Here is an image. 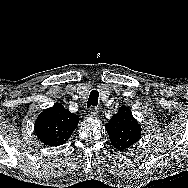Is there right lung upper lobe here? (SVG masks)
Returning <instances> with one entry per match:
<instances>
[{"label": "right lung upper lobe", "instance_id": "1", "mask_svg": "<svg viewBox=\"0 0 188 188\" xmlns=\"http://www.w3.org/2000/svg\"><path fill=\"white\" fill-rule=\"evenodd\" d=\"M79 117L56 103L41 112L35 121V133L45 145L59 146L65 143L76 129Z\"/></svg>", "mask_w": 188, "mask_h": 188}]
</instances>
